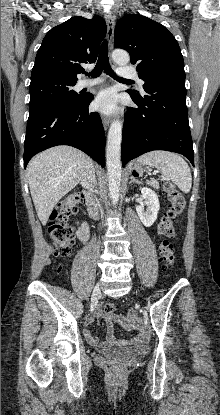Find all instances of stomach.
<instances>
[{"label": "stomach", "mask_w": 220, "mask_h": 415, "mask_svg": "<svg viewBox=\"0 0 220 415\" xmlns=\"http://www.w3.org/2000/svg\"><path fill=\"white\" fill-rule=\"evenodd\" d=\"M133 170L136 171V172L141 173L143 171V167L139 163H135L133 165Z\"/></svg>", "instance_id": "obj_1"}]
</instances>
